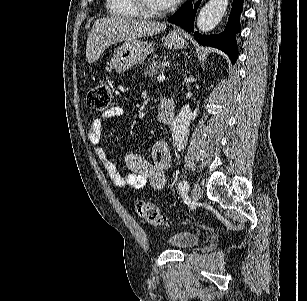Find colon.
<instances>
[{
    "mask_svg": "<svg viewBox=\"0 0 307 301\" xmlns=\"http://www.w3.org/2000/svg\"><path fill=\"white\" fill-rule=\"evenodd\" d=\"M86 100L88 106L93 110L99 112L106 111L111 102L109 86L103 81L97 82L89 89ZM135 210L150 225L164 227L168 223V220L162 215L159 208L151 202L144 200L137 201Z\"/></svg>",
    "mask_w": 307,
    "mask_h": 301,
    "instance_id": "obj_1",
    "label": "colon"
}]
</instances>
